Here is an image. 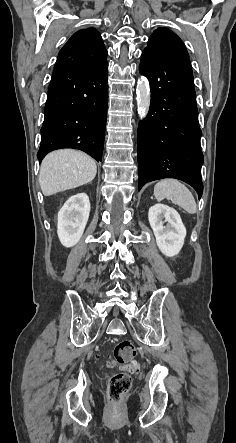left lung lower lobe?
<instances>
[{
    "mask_svg": "<svg viewBox=\"0 0 236 443\" xmlns=\"http://www.w3.org/2000/svg\"><path fill=\"white\" fill-rule=\"evenodd\" d=\"M139 71L151 88L150 110L138 127L139 189L153 180L176 178L200 198L204 158L190 60L143 51Z\"/></svg>",
    "mask_w": 236,
    "mask_h": 443,
    "instance_id": "0a47b994",
    "label": "left lung lower lobe"
}]
</instances>
